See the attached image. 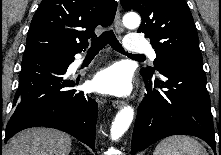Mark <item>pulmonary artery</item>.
Returning a JSON list of instances; mask_svg holds the SVG:
<instances>
[{
	"label": "pulmonary artery",
	"mask_w": 221,
	"mask_h": 155,
	"mask_svg": "<svg viewBox=\"0 0 221 155\" xmlns=\"http://www.w3.org/2000/svg\"><path fill=\"white\" fill-rule=\"evenodd\" d=\"M125 47L132 53H147L151 59L156 58L154 50L149 43L138 34H129L125 39ZM83 59H78L76 64H80Z\"/></svg>",
	"instance_id": "e3ab8cb5"
}]
</instances>
